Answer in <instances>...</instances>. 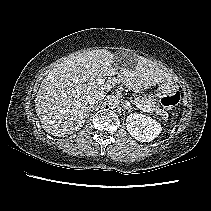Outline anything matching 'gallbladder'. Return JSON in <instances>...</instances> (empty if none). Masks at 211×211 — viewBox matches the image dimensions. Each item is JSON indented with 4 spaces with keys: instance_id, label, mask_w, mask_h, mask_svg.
<instances>
[{
    "instance_id": "bac80fb5",
    "label": "gallbladder",
    "mask_w": 211,
    "mask_h": 211,
    "mask_svg": "<svg viewBox=\"0 0 211 211\" xmlns=\"http://www.w3.org/2000/svg\"><path fill=\"white\" fill-rule=\"evenodd\" d=\"M128 53L127 52H125V51H123V52H117L116 53V56H118V57H123L124 55H127Z\"/></svg>"
}]
</instances>
